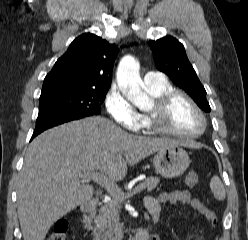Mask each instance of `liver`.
<instances>
[{"instance_id": "6515ba94", "label": "liver", "mask_w": 248, "mask_h": 240, "mask_svg": "<svg viewBox=\"0 0 248 240\" xmlns=\"http://www.w3.org/2000/svg\"><path fill=\"white\" fill-rule=\"evenodd\" d=\"M172 139L127 133L103 117L54 127L29 145L19 176L17 212L24 240H44L50 227L94 189L83 171L104 172L115 181L145 157L178 145Z\"/></svg>"}]
</instances>
